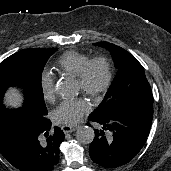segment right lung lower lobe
I'll return each mask as SVG.
<instances>
[{"instance_id": "98d812e1", "label": "right lung lower lobe", "mask_w": 171, "mask_h": 171, "mask_svg": "<svg viewBox=\"0 0 171 171\" xmlns=\"http://www.w3.org/2000/svg\"><path fill=\"white\" fill-rule=\"evenodd\" d=\"M43 136L46 140H42ZM63 131L44 120L38 127L29 130L5 154L14 167L21 171H51L59 162V146L64 140Z\"/></svg>"}]
</instances>
